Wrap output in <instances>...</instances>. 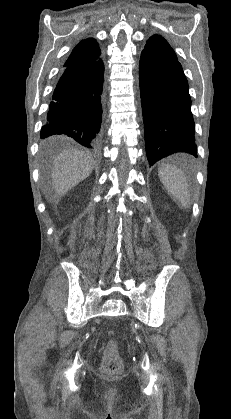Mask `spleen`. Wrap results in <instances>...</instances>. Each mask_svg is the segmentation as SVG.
I'll return each mask as SVG.
<instances>
[{
    "mask_svg": "<svg viewBox=\"0 0 231 419\" xmlns=\"http://www.w3.org/2000/svg\"><path fill=\"white\" fill-rule=\"evenodd\" d=\"M158 175L168 194L174 200H178L183 207L187 206L190 194L183 172L175 166L164 164L159 168Z\"/></svg>",
    "mask_w": 231,
    "mask_h": 419,
    "instance_id": "spleen-1",
    "label": "spleen"
}]
</instances>
